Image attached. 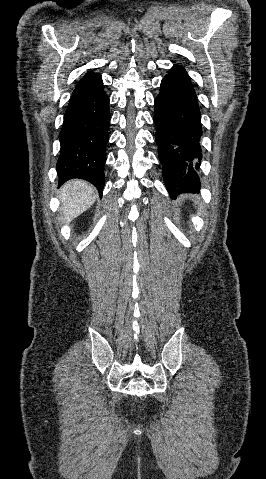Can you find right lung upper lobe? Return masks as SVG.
I'll return each mask as SVG.
<instances>
[{
    "label": "right lung upper lobe",
    "instance_id": "obj_1",
    "mask_svg": "<svg viewBox=\"0 0 266 479\" xmlns=\"http://www.w3.org/2000/svg\"><path fill=\"white\" fill-rule=\"evenodd\" d=\"M91 74H94V73H93V72H88L86 75H91ZM86 75H85V76H86Z\"/></svg>",
    "mask_w": 266,
    "mask_h": 479
}]
</instances>
